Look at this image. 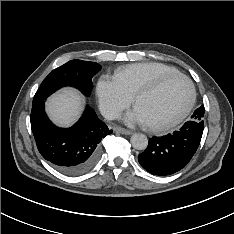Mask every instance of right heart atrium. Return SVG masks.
<instances>
[{"instance_id":"d8ad5b80","label":"right heart atrium","mask_w":234,"mask_h":234,"mask_svg":"<svg viewBox=\"0 0 234 234\" xmlns=\"http://www.w3.org/2000/svg\"><path fill=\"white\" fill-rule=\"evenodd\" d=\"M97 96L102 112L109 118L117 117L132 102L116 76L103 74L97 83Z\"/></svg>"}]
</instances>
